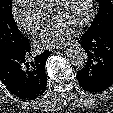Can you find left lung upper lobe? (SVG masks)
<instances>
[{
  "instance_id": "5c2ea615",
  "label": "left lung upper lobe",
  "mask_w": 113,
  "mask_h": 113,
  "mask_svg": "<svg viewBox=\"0 0 113 113\" xmlns=\"http://www.w3.org/2000/svg\"><path fill=\"white\" fill-rule=\"evenodd\" d=\"M99 12L86 32L97 33L110 25L113 26V3L111 0H98Z\"/></svg>"
}]
</instances>
